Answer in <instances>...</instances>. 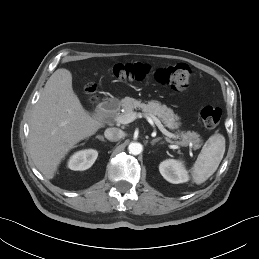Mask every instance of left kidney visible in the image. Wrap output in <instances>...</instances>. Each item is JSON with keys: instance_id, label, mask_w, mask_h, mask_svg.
Returning a JSON list of instances; mask_svg holds the SVG:
<instances>
[{"instance_id": "obj_1", "label": "left kidney", "mask_w": 259, "mask_h": 259, "mask_svg": "<svg viewBox=\"0 0 259 259\" xmlns=\"http://www.w3.org/2000/svg\"><path fill=\"white\" fill-rule=\"evenodd\" d=\"M159 171L164 179L173 184L185 183L189 175L182 161L168 159L160 163Z\"/></svg>"}]
</instances>
